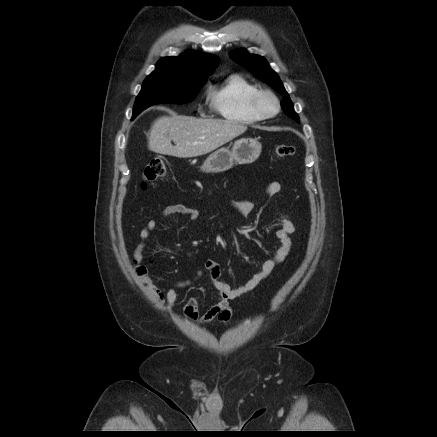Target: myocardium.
I'll list each match as a JSON object with an SVG mask.
<instances>
[{
    "label": "myocardium",
    "instance_id": "myocardium-1",
    "mask_svg": "<svg viewBox=\"0 0 437 437\" xmlns=\"http://www.w3.org/2000/svg\"><path fill=\"white\" fill-rule=\"evenodd\" d=\"M265 98H270L275 104V110L272 113H268L262 105ZM251 108L253 112L261 119L273 118L280 112L281 105L280 100L276 94L270 90H259L256 92L251 99Z\"/></svg>",
    "mask_w": 437,
    "mask_h": 437
}]
</instances>
